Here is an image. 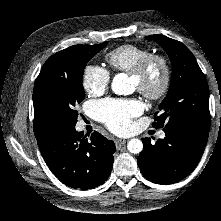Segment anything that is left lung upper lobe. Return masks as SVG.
<instances>
[{
  "mask_svg": "<svg viewBox=\"0 0 221 221\" xmlns=\"http://www.w3.org/2000/svg\"><path fill=\"white\" fill-rule=\"evenodd\" d=\"M146 38L163 47L172 63L170 88L153 126L163 130L188 126L209 132V89L194 55L184 44L164 35Z\"/></svg>",
  "mask_w": 221,
  "mask_h": 221,
  "instance_id": "left-lung-upper-lobe-1",
  "label": "left lung upper lobe"
}]
</instances>
